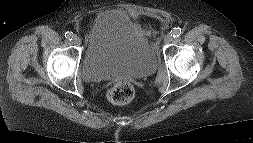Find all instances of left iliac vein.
I'll return each instance as SVG.
<instances>
[{"mask_svg": "<svg viewBox=\"0 0 253 143\" xmlns=\"http://www.w3.org/2000/svg\"><path fill=\"white\" fill-rule=\"evenodd\" d=\"M172 40H173V36H172L171 34H166V35H165V37H164V42H165L166 44L171 43Z\"/></svg>", "mask_w": 253, "mask_h": 143, "instance_id": "4c4485c4", "label": "left iliac vein"}]
</instances>
